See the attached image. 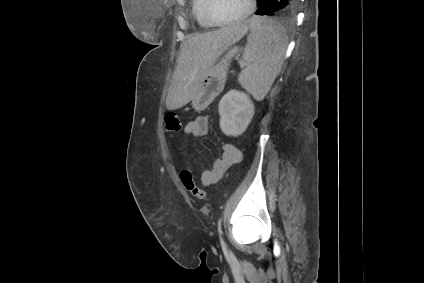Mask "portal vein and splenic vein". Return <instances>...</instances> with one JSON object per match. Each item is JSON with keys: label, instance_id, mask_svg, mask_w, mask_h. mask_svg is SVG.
<instances>
[{"label": "portal vein and splenic vein", "instance_id": "18ae733b", "mask_svg": "<svg viewBox=\"0 0 424 283\" xmlns=\"http://www.w3.org/2000/svg\"><path fill=\"white\" fill-rule=\"evenodd\" d=\"M240 67L243 68L245 66V64L243 63V61H239Z\"/></svg>", "mask_w": 424, "mask_h": 283}]
</instances>
